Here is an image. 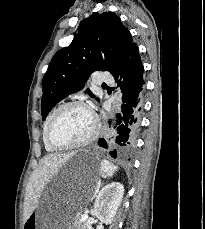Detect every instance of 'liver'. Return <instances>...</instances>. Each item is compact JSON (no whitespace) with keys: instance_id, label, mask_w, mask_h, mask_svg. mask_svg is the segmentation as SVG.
<instances>
[{"instance_id":"liver-1","label":"liver","mask_w":205,"mask_h":229,"mask_svg":"<svg viewBox=\"0 0 205 229\" xmlns=\"http://www.w3.org/2000/svg\"><path fill=\"white\" fill-rule=\"evenodd\" d=\"M76 153L50 154L41 160L39 167L31 174L27 187L23 213L24 222L38 205L45 185L51 181L63 165Z\"/></svg>"}]
</instances>
